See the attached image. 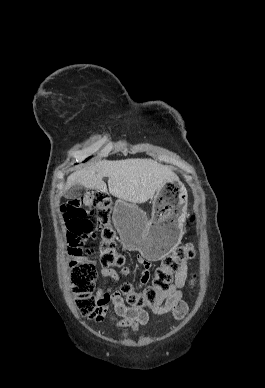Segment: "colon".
I'll list each match as a JSON object with an SVG mask.
<instances>
[{"label": "colon", "instance_id": "colon-1", "mask_svg": "<svg viewBox=\"0 0 265 388\" xmlns=\"http://www.w3.org/2000/svg\"><path fill=\"white\" fill-rule=\"evenodd\" d=\"M111 199L104 191L87 193L81 199H73L60 205V212L67 227L68 251L71 256L69 268L73 294L78 311L88 319L100 321L98 299L94 295L97 279L95 265L86 258L91 250L84 248L85 241L96 230L100 231V262L106 268L126 271L125 257L116 249V232L110 223ZM195 255L194 247L185 244L166 256L155 269L152 281L142 291L130 282H123L119 292L131 308L152 307L161 293L165 292L180 264Z\"/></svg>", "mask_w": 265, "mask_h": 388}]
</instances>
